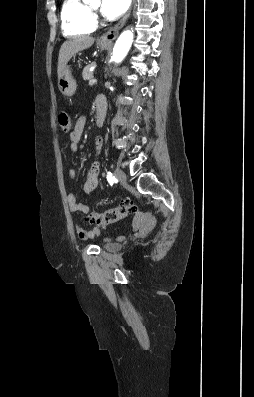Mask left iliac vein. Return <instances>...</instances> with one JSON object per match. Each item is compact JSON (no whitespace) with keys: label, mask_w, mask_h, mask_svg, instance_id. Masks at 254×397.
<instances>
[{"label":"left iliac vein","mask_w":254,"mask_h":397,"mask_svg":"<svg viewBox=\"0 0 254 397\" xmlns=\"http://www.w3.org/2000/svg\"><path fill=\"white\" fill-rule=\"evenodd\" d=\"M115 176L121 183H123V184L126 183V181H127L126 174L121 169H119V168L115 169Z\"/></svg>","instance_id":"left-iliac-vein-1"}]
</instances>
